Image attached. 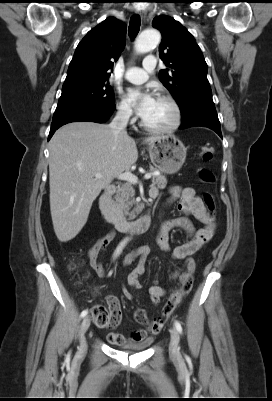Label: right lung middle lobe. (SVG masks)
<instances>
[{"label": "right lung middle lobe", "mask_w": 272, "mask_h": 401, "mask_svg": "<svg viewBox=\"0 0 272 401\" xmlns=\"http://www.w3.org/2000/svg\"><path fill=\"white\" fill-rule=\"evenodd\" d=\"M114 92L106 81L62 90L54 118L77 111H97L107 113L113 111Z\"/></svg>", "instance_id": "dd1d6c3e"}]
</instances>
